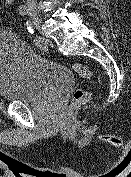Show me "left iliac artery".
I'll use <instances>...</instances> for the list:
<instances>
[{
	"mask_svg": "<svg viewBox=\"0 0 131 177\" xmlns=\"http://www.w3.org/2000/svg\"><path fill=\"white\" fill-rule=\"evenodd\" d=\"M26 26H27V29H28L29 33L33 35L34 30H33L32 24L29 21H27Z\"/></svg>",
	"mask_w": 131,
	"mask_h": 177,
	"instance_id": "44dca946",
	"label": "left iliac artery"
}]
</instances>
